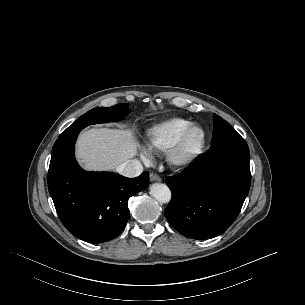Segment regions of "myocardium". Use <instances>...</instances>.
Listing matches in <instances>:
<instances>
[{"mask_svg":"<svg viewBox=\"0 0 305 305\" xmlns=\"http://www.w3.org/2000/svg\"><path fill=\"white\" fill-rule=\"evenodd\" d=\"M200 132V139L194 147H190L189 138L192 132ZM207 142V133L199 124H191L181 134L178 141L171 148L169 162L179 168L188 167L194 164L204 151Z\"/></svg>","mask_w":305,"mask_h":305,"instance_id":"f54148a6","label":"myocardium"}]
</instances>
